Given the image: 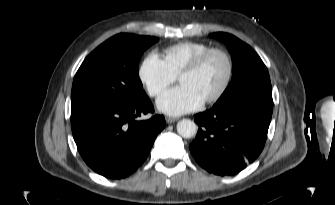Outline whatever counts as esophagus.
<instances>
[{
	"label": "esophagus",
	"mask_w": 335,
	"mask_h": 205,
	"mask_svg": "<svg viewBox=\"0 0 335 205\" xmlns=\"http://www.w3.org/2000/svg\"><path fill=\"white\" fill-rule=\"evenodd\" d=\"M178 119L175 117H166V122L167 123H174L176 122Z\"/></svg>",
	"instance_id": "esophagus-1"
}]
</instances>
